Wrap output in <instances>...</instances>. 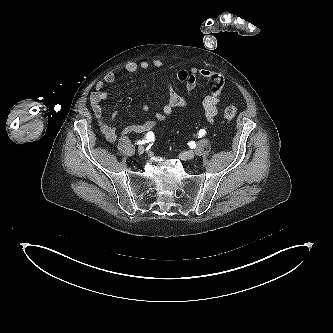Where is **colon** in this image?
Here are the masks:
<instances>
[{"instance_id": "5ec220e1", "label": "colon", "mask_w": 333, "mask_h": 333, "mask_svg": "<svg viewBox=\"0 0 333 333\" xmlns=\"http://www.w3.org/2000/svg\"><path fill=\"white\" fill-rule=\"evenodd\" d=\"M237 114V109L236 107L232 106V105H229V106H226L225 109H224V118L228 121H231L235 118Z\"/></svg>"}]
</instances>
